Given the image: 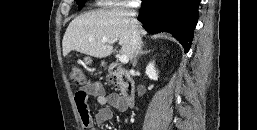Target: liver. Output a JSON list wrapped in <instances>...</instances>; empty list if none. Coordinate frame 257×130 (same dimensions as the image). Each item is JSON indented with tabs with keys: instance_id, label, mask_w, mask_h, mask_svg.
<instances>
[{
	"instance_id": "liver-1",
	"label": "liver",
	"mask_w": 257,
	"mask_h": 130,
	"mask_svg": "<svg viewBox=\"0 0 257 130\" xmlns=\"http://www.w3.org/2000/svg\"><path fill=\"white\" fill-rule=\"evenodd\" d=\"M121 10H96L74 18L63 37V56L77 51L89 56L104 58L112 54L111 43L118 40L121 54L131 57L132 26L136 25L140 35H145L139 22ZM103 40H107L103 43Z\"/></svg>"
}]
</instances>
